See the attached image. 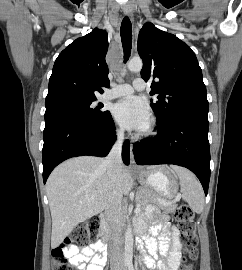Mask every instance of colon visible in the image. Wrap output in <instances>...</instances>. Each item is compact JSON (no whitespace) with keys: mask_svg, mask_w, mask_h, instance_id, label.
<instances>
[{"mask_svg":"<svg viewBox=\"0 0 242 270\" xmlns=\"http://www.w3.org/2000/svg\"><path fill=\"white\" fill-rule=\"evenodd\" d=\"M175 216L180 222L182 230V257L183 263L181 270H194L193 261L198 256V239L195 231L194 212L187 205H180ZM100 223L93 219L82 222L68 235L65 243L55 248L53 251V270H74L75 265L72 264L65 254V250L69 245H80L98 237Z\"/></svg>","mask_w":242,"mask_h":270,"instance_id":"5ec220e1","label":"colon"}]
</instances>
